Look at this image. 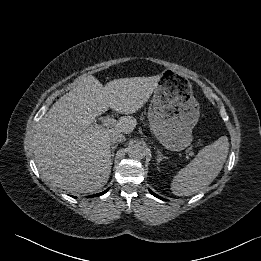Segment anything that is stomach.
I'll return each instance as SVG.
<instances>
[{
  "label": "stomach",
  "mask_w": 261,
  "mask_h": 261,
  "mask_svg": "<svg viewBox=\"0 0 261 261\" xmlns=\"http://www.w3.org/2000/svg\"><path fill=\"white\" fill-rule=\"evenodd\" d=\"M200 115L191 82L166 69L154 89L148 120L155 137L167 149L181 151L192 142V130Z\"/></svg>",
  "instance_id": "1"
}]
</instances>
